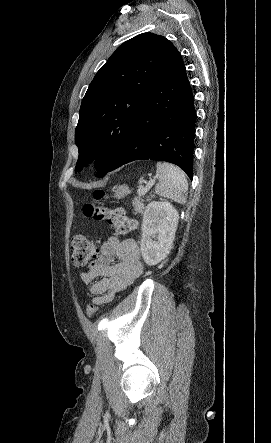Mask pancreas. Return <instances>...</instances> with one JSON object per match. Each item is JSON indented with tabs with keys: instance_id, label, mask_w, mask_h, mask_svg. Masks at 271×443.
<instances>
[{
	"instance_id": "obj_1",
	"label": "pancreas",
	"mask_w": 271,
	"mask_h": 443,
	"mask_svg": "<svg viewBox=\"0 0 271 443\" xmlns=\"http://www.w3.org/2000/svg\"><path fill=\"white\" fill-rule=\"evenodd\" d=\"M132 204L134 206L135 214H143L145 210L143 202H140L138 198H134V200H132Z\"/></svg>"
}]
</instances>
